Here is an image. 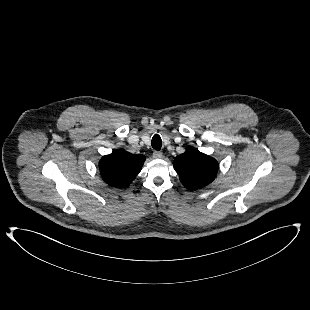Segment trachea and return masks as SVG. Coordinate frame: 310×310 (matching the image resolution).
Instances as JSON below:
<instances>
[{
	"mask_svg": "<svg viewBox=\"0 0 310 310\" xmlns=\"http://www.w3.org/2000/svg\"><path fill=\"white\" fill-rule=\"evenodd\" d=\"M151 144L155 150H160L162 147L161 137L158 134H155L152 138Z\"/></svg>",
	"mask_w": 310,
	"mask_h": 310,
	"instance_id": "1",
	"label": "trachea"
}]
</instances>
